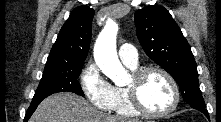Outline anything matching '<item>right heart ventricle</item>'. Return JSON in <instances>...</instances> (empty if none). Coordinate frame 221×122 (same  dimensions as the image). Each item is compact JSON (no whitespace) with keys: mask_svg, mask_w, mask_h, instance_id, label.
I'll return each mask as SVG.
<instances>
[{"mask_svg":"<svg viewBox=\"0 0 221 122\" xmlns=\"http://www.w3.org/2000/svg\"><path fill=\"white\" fill-rule=\"evenodd\" d=\"M126 66L132 70L137 68V66L127 64ZM108 109L122 117H137L140 115L131 104L126 88L120 86H112V99Z\"/></svg>","mask_w":221,"mask_h":122,"instance_id":"right-heart-ventricle-1","label":"right heart ventricle"}]
</instances>
